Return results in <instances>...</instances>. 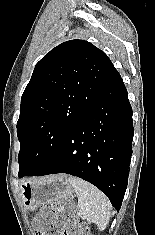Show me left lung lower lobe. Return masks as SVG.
<instances>
[{
	"instance_id": "left-lung-lower-lobe-1",
	"label": "left lung lower lobe",
	"mask_w": 155,
	"mask_h": 235,
	"mask_svg": "<svg viewBox=\"0 0 155 235\" xmlns=\"http://www.w3.org/2000/svg\"><path fill=\"white\" fill-rule=\"evenodd\" d=\"M134 128L127 90L116 71L34 176L66 173L99 188L119 211L127 188Z\"/></svg>"
}]
</instances>
